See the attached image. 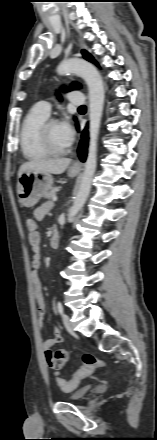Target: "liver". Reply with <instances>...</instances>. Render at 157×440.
Wrapping results in <instances>:
<instances>
[{
  "label": "liver",
  "mask_w": 157,
  "mask_h": 440,
  "mask_svg": "<svg viewBox=\"0 0 157 440\" xmlns=\"http://www.w3.org/2000/svg\"><path fill=\"white\" fill-rule=\"evenodd\" d=\"M70 163L71 159L69 158L33 159L20 166L18 177H20L23 173H29L31 171L62 174Z\"/></svg>",
  "instance_id": "6515ba94"
}]
</instances>
